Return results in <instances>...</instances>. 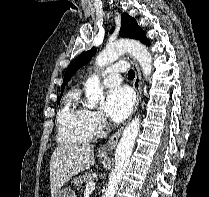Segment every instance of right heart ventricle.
<instances>
[{"label":"right heart ventricle","instance_id":"1","mask_svg":"<svg viewBox=\"0 0 209 197\" xmlns=\"http://www.w3.org/2000/svg\"><path fill=\"white\" fill-rule=\"evenodd\" d=\"M58 140L64 144L86 143L94 132L90 124V111L81 103L78 90L70 91L57 114Z\"/></svg>","mask_w":209,"mask_h":197}]
</instances>
